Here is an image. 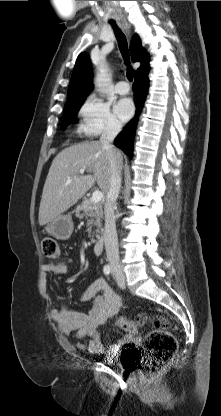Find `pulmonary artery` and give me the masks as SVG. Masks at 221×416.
Returning <instances> with one entry per match:
<instances>
[{"mask_svg":"<svg viewBox=\"0 0 221 416\" xmlns=\"http://www.w3.org/2000/svg\"><path fill=\"white\" fill-rule=\"evenodd\" d=\"M115 91L120 95H126L129 93L130 87L126 81L119 80L115 86Z\"/></svg>","mask_w":221,"mask_h":416,"instance_id":"pulmonary-artery-1","label":"pulmonary artery"}]
</instances>
